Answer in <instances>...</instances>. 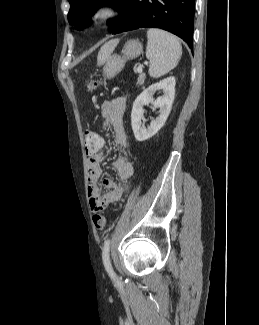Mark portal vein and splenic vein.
I'll list each match as a JSON object with an SVG mask.
<instances>
[{
    "label": "portal vein and splenic vein",
    "mask_w": 259,
    "mask_h": 325,
    "mask_svg": "<svg viewBox=\"0 0 259 325\" xmlns=\"http://www.w3.org/2000/svg\"><path fill=\"white\" fill-rule=\"evenodd\" d=\"M143 65H139L137 68V72H142Z\"/></svg>",
    "instance_id": "portal-vein-and-splenic-vein-1"
}]
</instances>
